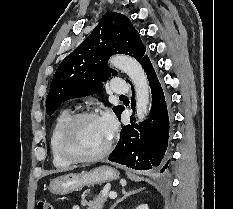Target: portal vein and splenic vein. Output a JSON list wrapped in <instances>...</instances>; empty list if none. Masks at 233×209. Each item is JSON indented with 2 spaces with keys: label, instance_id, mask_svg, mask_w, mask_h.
I'll use <instances>...</instances> for the list:
<instances>
[{
  "label": "portal vein and splenic vein",
  "instance_id": "18ae733b",
  "mask_svg": "<svg viewBox=\"0 0 233 209\" xmlns=\"http://www.w3.org/2000/svg\"><path fill=\"white\" fill-rule=\"evenodd\" d=\"M109 197H110V199H115L117 197V193L116 192H110Z\"/></svg>",
  "mask_w": 233,
  "mask_h": 209
}]
</instances>
